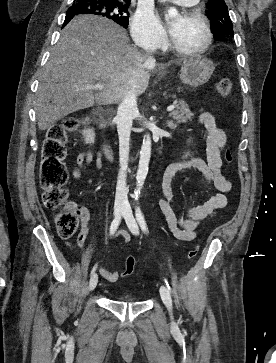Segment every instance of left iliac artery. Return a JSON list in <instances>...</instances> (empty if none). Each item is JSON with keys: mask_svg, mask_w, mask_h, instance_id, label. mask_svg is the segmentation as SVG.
I'll use <instances>...</instances> for the list:
<instances>
[{"mask_svg": "<svg viewBox=\"0 0 276 363\" xmlns=\"http://www.w3.org/2000/svg\"><path fill=\"white\" fill-rule=\"evenodd\" d=\"M135 215H136V219H137V221H138V223H139V225H140L141 229H142L145 233H148L147 224H146V221H145V219H144V216H143V214H142L141 209H140V207H139V206H137V207H136ZM165 283H166V285H167L168 289L170 290V286H169L168 282H167V281H165Z\"/></svg>", "mask_w": 276, "mask_h": 363, "instance_id": "1", "label": "left iliac artery"}]
</instances>
